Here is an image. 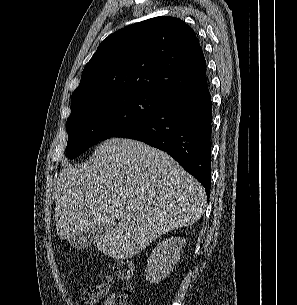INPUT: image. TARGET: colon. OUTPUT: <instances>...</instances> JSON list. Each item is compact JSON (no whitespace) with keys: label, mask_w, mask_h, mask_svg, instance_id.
Segmentation results:
<instances>
[{"label":"colon","mask_w":297,"mask_h":305,"mask_svg":"<svg viewBox=\"0 0 297 305\" xmlns=\"http://www.w3.org/2000/svg\"><path fill=\"white\" fill-rule=\"evenodd\" d=\"M134 265L130 261H121L116 264V275L124 283L123 292L119 298V305H127L133 293L131 281L134 277Z\"/></svg>","instance_id":"colon-1"}]
</instances>
